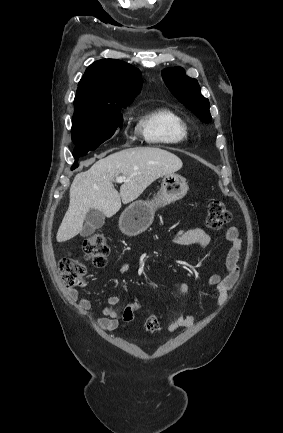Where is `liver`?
<instances>
[{
  "mask_svg": "<svg viewBox=\"0 0 283 433\" xmlns=\"http://www.w3.org/2000/svg\"><path fill=\"white\" fill-rule=\"evenodd\" d=\"M183 162L173 152L135 146L113 152L94 162L85 172H78L70 186V202L58 229L57 241H69L83 229L89 208H98L105 217L113 214L123 204L138 198L139 194L159 176L171 174L181 168ZM115 176H125L120 192L114 188Z\"/></svg>",
  "mask_w": 283,
  "mask_h": 433,
  "instance_id": "6515ba94",
  "label": "liver"
}]
</instances>
